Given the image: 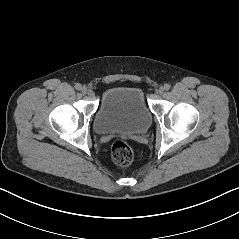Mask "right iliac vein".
Masks as SVG:
<instances>
[{
  "label": "right iliac vein",
  "mask_w": 239,
  "mask_h": 239,
  "mask_svg": "<svg viewBox=\"0 0 239 239\" xmlns=\"http://www.w3.org/2000/svg\"><path fill=\"white\" fill-rule=\"evenodd\" d=\"M81 92L83 93V94H87V88L84 86V87H82L81 88Z\"/></svg>",
  "instance_id": "1"
}]
</instances>
